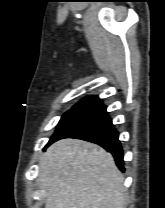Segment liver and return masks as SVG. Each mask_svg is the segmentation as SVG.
Here are the masks:
<instances>
[{
	"label": "liver",
	"mask_w": 165,
	"mask_h": 208,
	"mask_svg": "<svg viewBox=\"0 0 165 208\" xmlns=\"http://www.w3.org/2000/svg\"><path fill=\"white\" fill-rule=\"evenodd\" d=\"M45 208H124V178L113 156L100 146L63 139L39 161Z\"/></svg>",
	"instance_id": "1"
}]
</instances>
